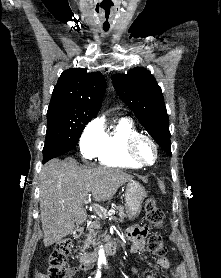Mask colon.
I'll list each match as a JSON object with an SVG mask.
<instances>
[{
  "instance_id": "obj_1",
  "label": "colon",
  "mask_w": 221,
  "mask_h": 278,
  "mask_svg": "<svg viewBox=\"0 0 221 278\" xmlns=\"http://www.w3.org/2000/svg\"><path fill=\"white\" fill-rule=\"evenodd\" d=\"M145 218L150 227L161 228L164 224V212L153 198L145 203ZM72 249V241L62 239L55 245L49 257L46 272L38 271L34 278H66L68 274L67 260ZM147 250L153 255H162L166 249L160 234H152L147 242Z\"/></svg>"
}]
</instances>
